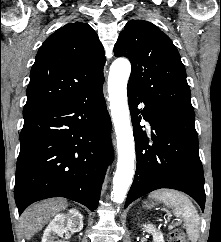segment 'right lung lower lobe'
Here are the masks:
<instances>
[{"mask_svg": "<svg viewBox=\"0 0 221 242\" xmlns=\"http://www.w3.org/2000/svg\"><path fill=\"white\" fill-rule=\"evenodd\" d=\"M103 83L104 78L61 105L24 114L14 187L19 215L51 197L97 208L113 160Z\"/></svg>", "mask_w": 221, "mask_h": 242, "instance_id": "98d812e1", "label": "right lung lower lobe"}]
</instances>
